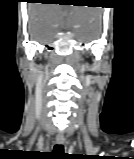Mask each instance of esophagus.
Wrapping results in <instances>:
<instances>
[{"label":"esophagus","mask_w":134,"mask_h":159,"mask_svg":"<svg viewBox=\"0 0 134 159\" xmlns=\"http://www.w3.org/2000/svg\"><path fill=\"white\" fill-rule=\"evenodd\" d=\"M56 142H57V144L63 145V144L65 143V138H64V136L61 135V134L57 135V137H56Z\"/></svg>","instance_id":"1"}]
</instances>
